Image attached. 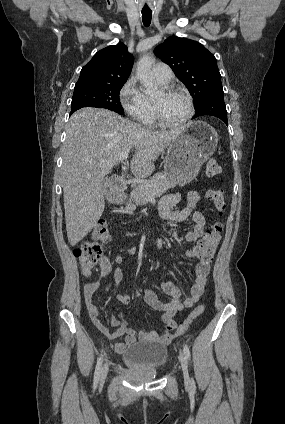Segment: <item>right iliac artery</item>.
Wrapping results in <instances>:
<instances>
[{"label":"right iliac artery","instance_id":"obj_1","mask_svg":"<svg viewBox=\"0 0 285 424\" xmlns=\"http://www.w3.org/2000/svg\"><path fill=\"white\" fill-rule=\"evenodd\" d=\"M102 361H103V356L101 355L97 360V364H96V368H95V372H94V383H93L94 388L97 387V384L99 382Z\"/></svg>","mask_w":285,"mask_h":424}]
</instances>
